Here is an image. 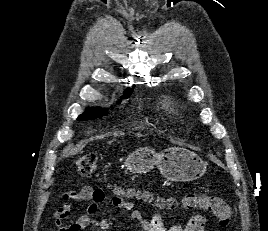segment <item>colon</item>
I'll use <instances>...</instances> for the list:
<instances>
[{"label": "colon", "mask_w": 268, "mask_h": 231, "mask_svg": "<svg viewBox=\"0 0 268 231\" xmlns=\"http://www.w3.org/2000/svg\"><path fill=\"white\" fill-rule=\"evenodd\" d=\"M97 158L93 155L86 154L78 157L75 161V166L78 173L82 176H91L97 170ZM145 199H148L145 197ZM116 200H122L118 195ZM175 202H171L173 206ZM182 207L189 211H203L211 213L219 219L220 226L226 228L230 225L232 219V211L229 205L220 197L206 195L200 193H187L181 200Z\"/></svg>", "instance_id": "colon-1"}]
</instances>
